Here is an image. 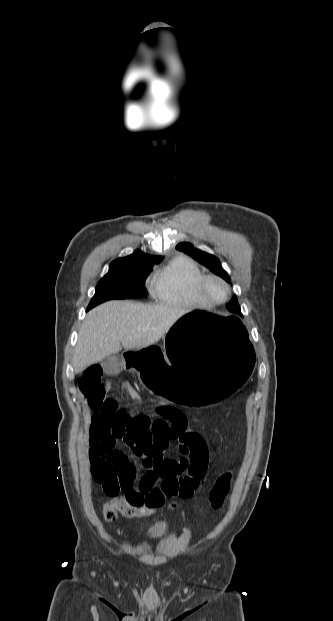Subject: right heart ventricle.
<instances>
[{"label": "right heart ventricle", "mask_w": 333, "mask_h": 621, "mask_svg": "<svg viewBox=\"0 0 333 621\" xmlns=\"http://www.w3.org/2000/svg\"><path fill=\"white\" fill-rule=\"evenodd\" d=\"M203 276L202 270L192 260L176 257L156 273L153 296L157 301L173 306L210 307L198 291V283Z\"/></svg>", "instance_id": "1"}]
</instances>
